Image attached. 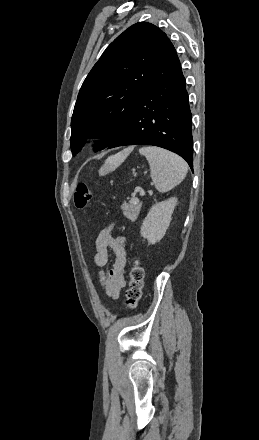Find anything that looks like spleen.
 <instances>
[{
    "instance_id": "obj_1",
    "label": "spleen",
    "mask_w": 259,
    "mask_h": 440,
    "mask_svg": "<svg viewBox=\"0 0 259 440\" xmlns=\"http://www.w3.org/2000/svg\"><path fill=\"white\" fill-rule=\"evenodd\" d=\"M150 165V176L159 192H167L186 177L188 168L178 155L158 147H142L139 150Z\"/></svg>"
}]
</instances>
